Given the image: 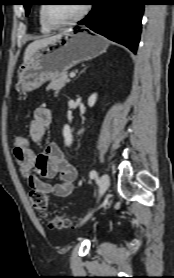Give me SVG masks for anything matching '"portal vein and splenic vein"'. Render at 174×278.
<instances>
[{"mask_svg":"<svg viewBox=\"0 0 174 278\" xmlns=\"http://www.w3.org/2000/svg\"><path fill=\"white\" fill-rule=\"evenodd\" d=\"M76 74L74 72L70 73V78H74Z\"/></svg>","mask_w":174,"mask_h":278,"instance_id":"1","label":"portal vein and splenic vein"}]
</instances>
